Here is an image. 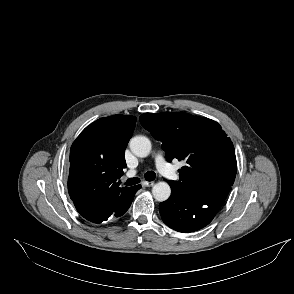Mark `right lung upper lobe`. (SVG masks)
Returning <instances> with one entry per match:
<instances>
[{
	"instance_id": "cb5924a9",
	"label": "right lung upper lobe",
	"mask_w": 294,
	"mask_h": 294,
	"mask_svg": "<svg viewBox=\"0 0 294 294\" xmlns=\"http://www.w3.org/2000/svg\"><path fill=\"white\" fill-rule=\"evenodd\" d=\"M135 124L134 116L101 118L73 142L68 191L82 216L110 208L130 188H120L117 179L126 168L124 152Z\"/></svg>"
}]
</instances>
